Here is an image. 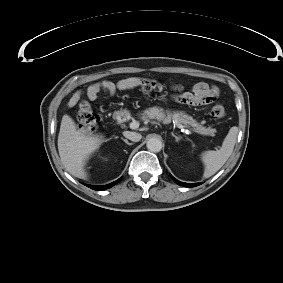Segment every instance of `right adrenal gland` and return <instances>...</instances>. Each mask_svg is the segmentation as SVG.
I'll return each instance as SVG.
<instances>
[{
    "label": "right adrenal gland",
    "mask_w": 283,
    "mask_h": 283,
    "mask_svg": "<svg viewBox=\"0 0 283 283\" xmlns=\"http://www.w3.org/2000/svg\"><path fill=\"white\" fill-rule=\"evenodd\" d=\"M127 145H132V143L128 142L127 139L121 138Z\"/></svg>",
    "instance_id": "obj_1"
}]
</instances>
